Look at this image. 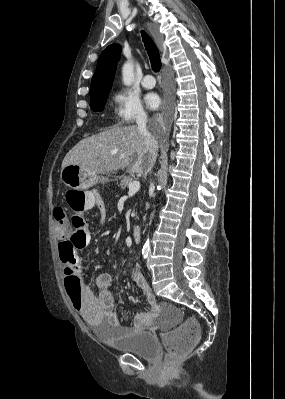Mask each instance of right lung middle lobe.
Segmentation results:
<instances>
[{
  "instance_id": "right-lung-middle-lobe-1",
  "label": "right lung middle lobe",
  "mask_w": 285,
  "mask_h": 399,
  "mask_svg": "<svg viewBox=\"0 0 285 399\" xmlns=\"http://www.w3.org/2000/svg\"><path fill=\"white\" fill-rule=\"evenodd\" d=\"M108 94H109V91L92 97L91 103H90L91 109L93 111H103L104 104L108 98Z\"/></svg>"
}]
</instances>
